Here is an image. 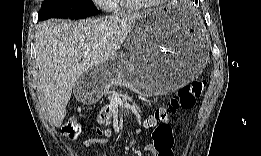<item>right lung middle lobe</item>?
<instances>
[{
  "label": "right lung middle lobe",
  "instance_id": "dd1d6c3e",
  "mask_svg": "<svg viewBox=\"0 0 261 156\" xmlns=\"http://www.w3.org/2000/svg\"><path fill=\"white\" fill-rule=\"evenodd\" d=\"M99 14L91 0H44L38 20L52 17L81 19Z\"/></svg>",
  "mask_w": 261,
  "mask_h": 156
}]
</instances>
